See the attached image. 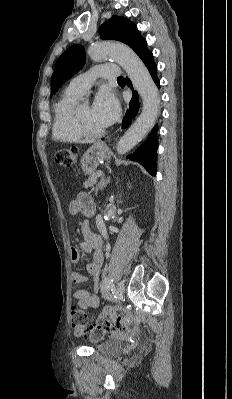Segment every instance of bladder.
I'll list each match as a JSON object with an SVG mask.
<instances>
[{
  "label": "bladder",
  "mask_w": 232,
  "mask_h": 399,
  "mask_svg": "<svg viewBox=\"0 0 232 399\" xmlns=\"http://www.w3.org/2000/svg\"><path fill=\"white\" fill-rule=\"evenodd\" d=\"M96 351L103 356H115L121 353L122 347L119 341L109 339L99 344Z\"/></svg>",
  "instance_id": "bladder-1"
}]
</instances>
